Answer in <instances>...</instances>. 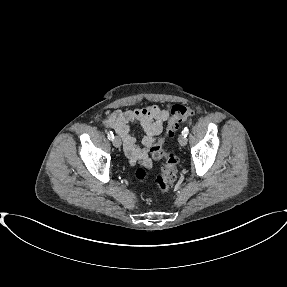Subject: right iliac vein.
Listing matches in <instances>:
<instances>
[{
	"label": "right iliac vein",
	"mask_w": 287,
	"mask_h": 287,
	"mask_svg": "<svg viewBox=\"0 0 287 287\" xmlns=\"http://www.w3.org/2000/svg\"><path fill=\"white\" fill-rule=\"evenodd\" d=\"M112 142H113V145L117 148L121 146V139L118 136H115Z\"/></svg>",
	"instance_id": "right-iliac-vein-1"
}]
</instances>
